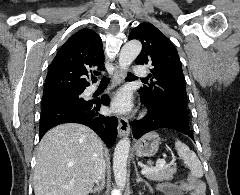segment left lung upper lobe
<instances>
[{"instance_id": "obj_1", "label": "left lung upper lobe", "mask_w": 240, "mask_h": 195, "mask_svg": "<svg viewBox=\"0 0 240 195\" xmlns=\"http://www.w3.org/2000/svg\"><path fill=\"white\" fill-rule=\"evenodd\" d=\"M128 39L142 43L136 64L151 67V83L138 91L141 101L152 109L176 108L187 113L185 79L176 48L151 23L135 27Z\"/></svg>"}]
</instances>
